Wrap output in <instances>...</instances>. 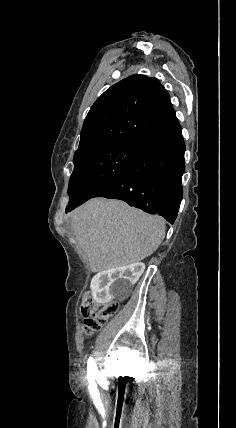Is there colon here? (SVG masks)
<instances>
[{
  "instance_id": "5ec220e1",
  "label": "colon",
  "mask_w": 236,
  "mask_h": 428,
  "mask_svg": "<svg viewBox=\"0 0 236 428\" xmlns=\"http://www.w3.org/2000/svg\"><path fill=\"white\" fill-rule=\"evenodd\" d=\"M117 310L118 303L116 301L98 304L94 301L90 291L85 292L81 305L85 333L90 335L100 330L115 315Z\"/></svg>"
}]
</instances>
